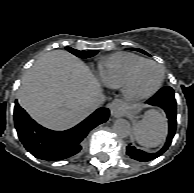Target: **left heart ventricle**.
<instances>
[{"label": "left heart ventricle", "instance_id": "obj_1", "mask_svg": "<svg viewBox=\"0 0 194 193\" xmlns=\"http://www.w3.org/2000/svg\"><path fill=\"white\" fill-rule=\"evenodd\" d=\"M159 78L160 69L151 64H145L137 73L134 90L137 92H148L156 86Z\"/></svg>", "mask_w": 194, "mask_h": 193}]
</instances>
